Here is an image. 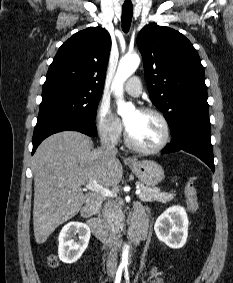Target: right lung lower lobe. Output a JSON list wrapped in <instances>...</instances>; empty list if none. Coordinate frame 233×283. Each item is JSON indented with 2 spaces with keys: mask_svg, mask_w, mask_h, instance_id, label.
Segmentation results:
<instances>
[{
  "mask_svg": "<svg viewBox=\"0 0 233 283\" xmlns=\"http://www.w3.org/2000/svg\"><path fill=\"white\" fill-rule=\"evenodd\" d=\"M61 131H79L88 136H95L97 129L95 123L74 119L63 115H51L38 119L33 134L34 154L38 145L48 136Z\"/></svg>",
  "mask_w": 233,
  "mask_h": 283,
  "instance_id": "1",
  "label": "right lung lower lobe"
}]
</instances>
